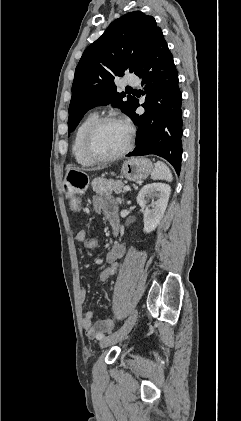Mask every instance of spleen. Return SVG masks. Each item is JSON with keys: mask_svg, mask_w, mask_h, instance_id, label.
I'll return each instance as SVG.
<instances>
[{"mask_svg": "<svg viewBox=\"0 0 241 421\" xmlns=\"http://www.w3.org/2000/svg\"><path fill=\"white\" fill-rule=\"evenodd\" d=\"M151 178L153 180H166L168 182L173 180L169 167L161 161L155 163L154 169L151 172Z\"/></svg>", "mask_w": 241, "mask_h": 421, "instance_id": "1", "label": "spleen"}]
</instances>
